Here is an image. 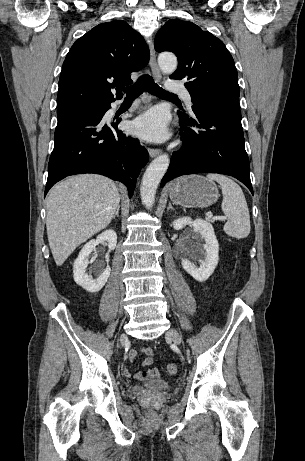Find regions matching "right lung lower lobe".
Returning a JSON list of instances; mask_svg holds the SVG:
<instances>
[{
  "label": "right lung lower lobe",
  "instance_id": "98d812e1",
  "mask_svg": "<svg viewBox=\"0 0 305 461\" xmlns=\"http://www.w3.org/2000/svg\"><path fill=\"white\" fill-rule=\"evenodd\" d=\"M104 108L58 109L54 149L48 164L45 195L61 179L74 174L96 173L135 189L140 169L149 159L138 139L118 131L120 122L104 123Z\"/></svg>",
  "mask_w": 305,
  "mask_h": 461
}]
</instances>
